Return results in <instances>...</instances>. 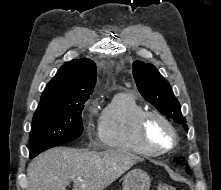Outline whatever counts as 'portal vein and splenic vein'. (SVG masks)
I'll list each match as a JSON object with an SVG mask.
<instances>
[{
    "instance_id": "1",
    "label": "portal vein and splenic vein",
    "mask_w": 221,
    "mask_h": 190,
    "mask_svg": "<svg viewBox=\"0 0 221 190\" xmlns=\"http://www.w3.org/2000/svg\"><path fill=\"white\" fill-rule=\"evenodd\" d=\"M78 180L82 181V179H81V178H78Z\"/></svg>"
}]
</instances>
